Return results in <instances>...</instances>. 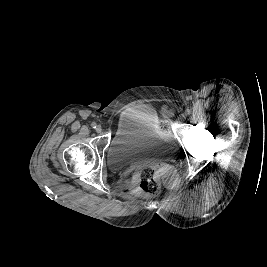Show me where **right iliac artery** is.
I'll return each instance as SVG.
<instances>
[{
	"instance_id": "1",
	"label": "right iliac artery",
	"mask_w": 267,
	"mask_h": 267,
	"mask_svg": "<svg viewBox=\"0 0 267 267\" xmlns=\"http://www.w3.org/2000/svg\"><path fill=\"white\" fill-rule=\"evenodd\" d=\"M91 126H92V128H96V123L95 122H93L92 124H91Z\"/></svg>"
}]
</instances>
